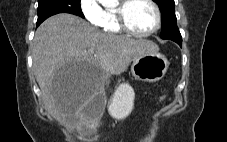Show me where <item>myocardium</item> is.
I'll use <instances>...</instances> for the list:
<instances>
[{"label": "myocardium", "instance_id": "1", "mask_svg": "<svg viewBox=\"0 0 227 142\" xmlns=\"http://www.w3.org/2000/svg\"><path fill=\"white\" fill-rule=\"evenodd\" d=\"M134 0H120L119 5L114 9L117 23L122 31L135 37H149L159 31L162 25V12L155 0H146L154 9L156 14V24L148 32H137L131 28L127 20V9Z\"/></svg>", "mask_w": 227, "mask_h": 142}]
</instances>
